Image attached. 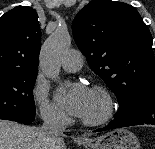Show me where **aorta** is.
I'll return each instance as SVG.
<instances>
[{
    "instance_id": "762f6f07",
    "label": "aorta",
    "mask_w": 155,
    "mask_h": 149,
    "mask_svg": "<svg viewBox=\"0 0 155 149\" xmlns=\"http://www.w3.org/2000/svg\"><path fill=\"white\" fill-rule=\"evenodd\" d=\"M71 46V37L66 26H59L45 42L41 50L42 70L52 80L59 79L61 60Z\"/></svg>"
}]
</instances>
